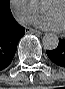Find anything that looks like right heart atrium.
Here are the masks:
<instances>
[{
	"instance_id": "right-heart-atrium-1",
	"label": "right heart atrium",
	"mask_w": 65,
	"mask_h": 89,
	"mask_svg": "<svg viewBox=\"0 0 65 89\" xmlns=\"http://www.w3.org/2000/svg\"><path fill=\"white\" fill-rule=\"evenodd\" d=\"M11 7L23 23H30L41 11V6L36 0H12Z\"/></svg>"
}]
</instances>
